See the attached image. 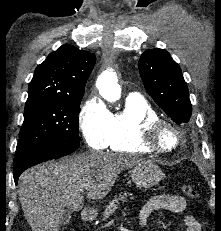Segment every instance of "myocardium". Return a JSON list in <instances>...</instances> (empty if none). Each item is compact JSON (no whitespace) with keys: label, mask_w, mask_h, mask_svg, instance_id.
<instances>
[{"label":"myocardium","mask_w":221,"mask_h":231,"mask_svg":"<svg viewBox=\"0 0 221 231\" xmlns=\"http://www.w3.org/2000/svg\"><path fill=\"white\" fill-rule=\"evenodd\" d=\"M165 130H169L174 135V141L170 146H163L160 141V136ZM140 140L150 151L157 154H167L174 151L179 146L180 131L176 125L168 120L159 117L147 119L142 124V135Z\"/></svg>","instance_id":"1"}]
</instances>
